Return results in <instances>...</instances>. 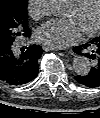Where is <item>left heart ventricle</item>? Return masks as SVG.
<instances>
[{"instance_id":"left-heart-ventricle-1","label":"left heart ventricle","mask_w":100,"mask_h":118,"mask_svg":"<svg viewBox=\"0 0 100 118\" xmlns=\"http://www.w3.org/2000/svg\"><path fill=\"white\" fill-rule=\"evenodd\" d=\"M67 17L75 19L83 32L93 28L99 17L98 0H85L79 8L70 5Z\"/></svg>"}]
</instances>
